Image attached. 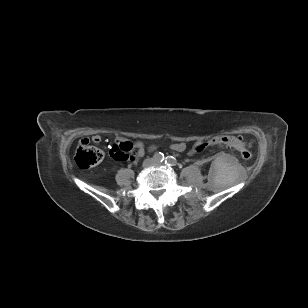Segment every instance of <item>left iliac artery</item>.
<instances>
[{"mask_svg": "<svg viewBox=\"0 0 308 308\" xmlns=\"http://www.w3.org/2000/svg\"><path fill=\"white\" fill-rule=\"evenodd\" d=\"M165 163L169 166H175L177 164V160L173 156H168L166 157Z\"/></svg>", "mask_w": 308, "mask_h": 308, "instance_id": "obj_1", "label": "left iliac artery"}]
</instances>
